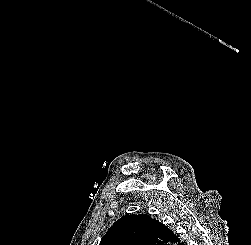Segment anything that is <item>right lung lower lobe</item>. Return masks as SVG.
Listing matches in <instances>:
<instances>
[{
  "label": "right lung lower lobe",
  "mask_w": 251,
  "mask_h": 245,
  "mask_svg": "<svg viewBox=\"0 0 251 245\" xmlns=\"http://www.w3.org/2000/svg\"><path fill=\"white\" fill-rule=\"evenodd\" d=\"M177 245H184V243H180V242H179V243H177Z\"/></svg>",
  "instance_id": "98d812e1"
}]
</instances>
